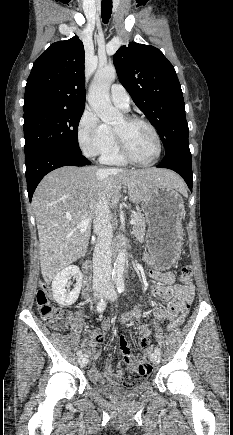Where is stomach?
Here are the masks:
<instances>
[{
  "label": "stomach",
  "instance_id": "1",
  "mask_svg": "<svg viewBox=\"0 0 233 435\" xmlns=\"http://www.w3.org/2000/svg\"><path fill=\"white\" fill-rule=\"evenodd\" d=\"M142 210L148 224L149 261L166 271L176 263L182 246L183 198L172 187L157 186L142 202Z\"/></svg>",
  "mask_w": 233,
  "mask_h": 435
}]
</instances>
